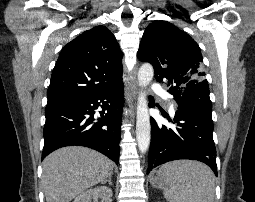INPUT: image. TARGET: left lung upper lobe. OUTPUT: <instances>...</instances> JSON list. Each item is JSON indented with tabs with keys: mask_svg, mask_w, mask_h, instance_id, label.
<instances>
[{
	"mask_svg": "<svg viewBox=\"0 0 255 202\" xmlns=\"http://www.w3.org/2000/svg\"><path fill=\"white\" fill-rule=\"evenodd\" d=\"M137 56L153 65L158 82L168 80L178 108L212 112L201 51L187 33L156 20L147 26Z\"/></svg>",
	"mask_w": 255,
	"mask_h": 202,
	"instance_id": "5c2ea615",
	"label": "left lung upper lobe"
}]
</instances>
